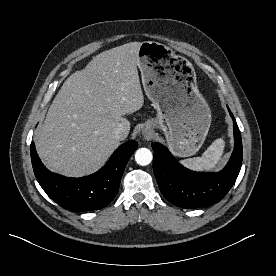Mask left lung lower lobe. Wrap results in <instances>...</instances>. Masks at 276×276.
<instances>
[{
  "mask_svg": "<svg viewBox=\"0 0 276 276\" xmlns=\"http://www.w3.org/2000/svg\"><path fill=\"white\" fill-rule=\"evenodd\" d=\"M233 118L234 150L229 162L218 173L190 171L181 166L161 144L153 143V170L163 196L181 208H201L218 203L235 183L242 164V140Z\"/></svg>",
  "mask_w": 276,
  "mask_h": 276,
  "instance_id": "0a47b994",
  "label": "left lung lower lobe"
}]
</instances>
